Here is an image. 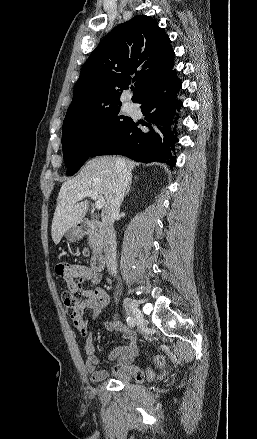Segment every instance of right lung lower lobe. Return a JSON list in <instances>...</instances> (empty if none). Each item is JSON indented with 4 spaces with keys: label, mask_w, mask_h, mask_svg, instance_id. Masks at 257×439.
<instances>
[{
    "label": "right lung lower lobe",
    "mask_w": 257,
    "mask_h": 439,
    "mask_svg": "<svg viewBox=\"0 0 257 439\" xmlns=\"http://www.w3.org/2000/svg\"><path fill=\"white\" fill-rule=\"evenodd\" d=\"M181 82L172 70L159 79L138 102L145 121L131 120L117 135L101 144L90 157L119 154L137 162H161L173 168L172 156L177 139V124L182 107L177 99ZM146 126L147 128H143Z\"/></svg>",
    "instance_id": "98d812e1"
}]
</instances>
